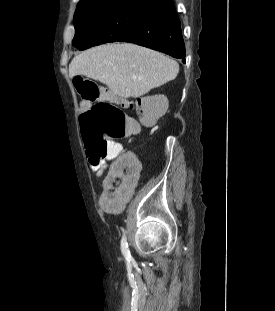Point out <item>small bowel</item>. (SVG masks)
Listing matches in <instances>:
<instances>
[{
	"instance_id": "obj_1",
	"label": "small bowel",
	"mask_w": 275,
	"mask_h": 311,
	"mask_svg": "<svg viewBox=\"0 0 275 311\" xmlns=\"http://www.w3.org/2000/svg\"><path fill=\"white\" fill-rule=\"evenodd\" d=\"M89 107V102L81 101L79 104L81 113ZM137 154V150H121L117 160H113L110 166L112 172L106 176L100 186L103 193L100 196L99 213H104L105 216H118L119 213H123L126 200L134 192L137 180H140L141 172L138 167H142V160L136 159ZM89 167L96 177H101L106 162L90 158Z\"/></svg>"
}]
</instances>
